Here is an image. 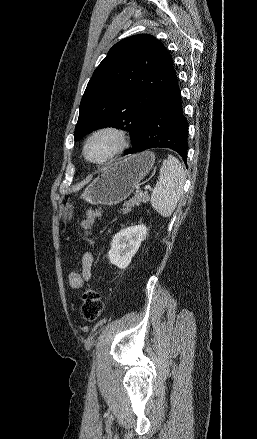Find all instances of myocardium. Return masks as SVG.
I'll return each instance as SVG.
<instances>
[{
    "mask_svg": "<svg viewBox=\"0 0 257 439\" xmlns=\"http://www.w3.org/2000/svg\"><path fill=\"white\" fill-rule=\"evenodd\" d=\"M103 134H109L113 136L116 140V147L105 158L100 160H93L88 156V146L94 138ZM128 144H129V138L127 132L123 128L116 125H105L94 130L87 137L83 147V155L88 162L94 165L102 166L110 163L119 155H121L124 152V150L127 148Z\"/></svg>",
    "mask_w": 257,
    "mask_h": 439,
    "instance_id": "1",
    "label": "myocardium"
}]
</instances>
